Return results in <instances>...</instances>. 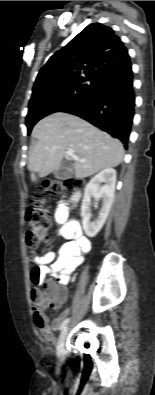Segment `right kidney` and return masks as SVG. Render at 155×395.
Masks as SVG:
<instances>
[{"label":"right kidney","mask_w":155,"mask_h":395,"mask_svg":"<svg viewBox=\"0 0 155 395\" xmlns=\"http://www.w3.org/2000/svg\"><path fill=\"white\" fill-rule=\"evenodd\" d=\"M101 183L105 184L100 186ZM115 184L116 171L112 168L102 170L87 184L81 205L82 224L87 236H96L104 225L113 203ZM92 197L95 199L102 198L103 201L98 217L94 221H91L90 206Z\"/></svg>","instance_id":"ca27d5eb"}]
</instances>
